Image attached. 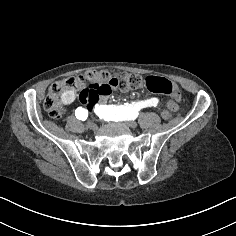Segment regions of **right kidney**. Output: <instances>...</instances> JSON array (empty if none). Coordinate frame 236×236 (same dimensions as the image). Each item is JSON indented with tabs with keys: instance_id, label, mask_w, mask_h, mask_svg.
Here are the masks:
<instances>
[{
	"instance_id": "right-kidney-1",
	"label": "right kidney",
	"mask_w": 236,
	"mask_h": 236,
	"mask_svg": "<svg viewBox=\"0 0 236 236\" xmlns=\"http://www.w3.org/2000/svg\"><path fill=\"white\" fill-rule=\"evenodd\" d=\"M75 99L74 91H66L62 94L61 97H58L54 101V106L58 110H63L66 108L67 104L73 102Z\"/></svg>"
}]
</instances>
